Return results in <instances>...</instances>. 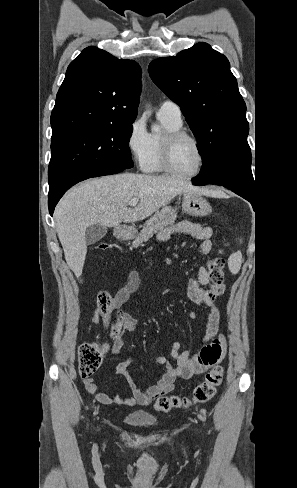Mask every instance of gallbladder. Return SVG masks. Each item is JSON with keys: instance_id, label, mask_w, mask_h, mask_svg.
<instances>
[{"instance_id": "obj_1", "label": "gallbladder", "mask_w": 297, "mask_h": 488, "mask_svg": "<svg viewBox=\"0 0 297 488\" xmlns=\"http://www.w3.org/2000/svg\"><path fill=\"white\" fill-rule=\"evenodd\" d=\"M107 233V227L100 224H94L89 226L85 233V239L87 244H94L101 240Z\"/></svg>"}]
</instances>
